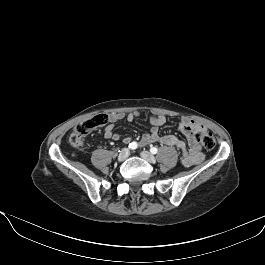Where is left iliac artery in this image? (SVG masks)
Here are the masks:
<instances>
[{
    "label": "left iliac artery",
    "mask_w": 265,
    "mask_h": 265,
    "mask_svg": "<svg viewBox=\"0 0 265 265\" xmlns=\"http://www.w3.org/2000/svg\"><path fill=\"white\" fill-rule=\"evenodd\" d=\"M150 152L152 154H156L158 152V149L156 147H151Z\"/></svg>",
    "instance_id": "obj_1"
}]
</instances>
